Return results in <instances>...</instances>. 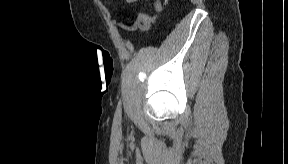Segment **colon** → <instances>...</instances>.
<instances>
[{
    "label": "colon",
    "mask_w": 288,
    "mask_h": 164,
    "mask_svg": "<svg viewBox=\"0 0 288 164\" xmlns=\"http://www.w3.org/2000/svg\"><path fill=\"white\" fill-rule=\"evenodd\" d=\"M158 11H159L158 9L155 10V12H156L155 17H156V18L159 16Z\"/></svg>",
    "instance_id": "5ec220e1"
}]
</instances>
